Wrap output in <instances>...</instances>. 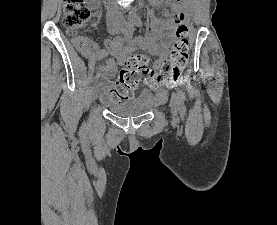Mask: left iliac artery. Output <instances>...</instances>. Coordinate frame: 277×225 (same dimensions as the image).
Listing matches in <instances>:
<instances>
[{
  "mask_svg": "<svg viewBox=\"0 0 277 225\" xmlns=\"http://www.w3.org/2000/svg\"><path fill=\"white\" fill-rule=\"evenodd\" d=\"M134 22H135V25H137L138 27L142 26V22H141V19L139 17H136ZM177 93H178V99H179L181 110L184 111L185 110V105H184V103H185V93L180 88H177Z\"/></svg>",
  "mask_w": 277,
  "mask_h": 225,
  "instance_id": "obj_1",
  "label": "left iliac artery"
}]
</instances>
